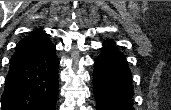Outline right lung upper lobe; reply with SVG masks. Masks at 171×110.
<instances>
[{"label": "right lung upper lobe", "instance_id": "1", "mask_svg": "<svg viewBox=\"0 0 171 110\" xmlns=\"http://www.w3.org/2000/svg\"><path fill=\"white\" fill-rule=\"evenodd\" d=\"M44 34H45V32H41L40 29L34 30L33 32H31V34L27 38H25L24 40L20 41L17 44L16 48L20 47V46H23V45H25V44H27L29 42H32L33 40L39 38L40 36H42Z\"/></svg>", "mask_w": 171, "mask_h": 110}]
</instances>
